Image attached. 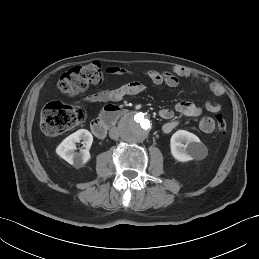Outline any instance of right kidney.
Segmentation results:
<instances>
[{
    "label": "right kidney",
    "mask_w": 259,
    "mask_h": 259,
    "mask_svg": "<svg viewBox=\"0 0 259 259\" xmlns=\"http://www.w3.org/2000/svg\"><path fill=\"white\" fill-rule=\"evenodd\" d=\"M80 141H82L85 149H82L80 152H74L76 143H79ZM92 142V134L86 129H80L65 138L56 148V153L69 164L74 165L75 167H81L90 159L89 149Z\"/></svg>",
    "instance_id": "obj_1"
}]
</instances>
